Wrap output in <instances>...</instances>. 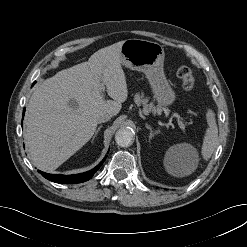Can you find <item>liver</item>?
Masks as SVG:
<instances>
[{"label":"liver","instance_id":"1","mask_svg":"<svg viewBox=\"0 0 247 247\" xmlns=\"http://www.w3.org/2000/svg\"><path fill=\"white\" fill-rule=\"evenodd\" d=\"M95 52L87 62L59 71L33 91L25 115V143L33 164L52 172L93 136L101 114L116 116L127 99L121 46ZM106 88L113 100H105ZM70 101L75 107H70Z\"/></svg>","mask_w":247,"mask_h":247}]
</instances>
